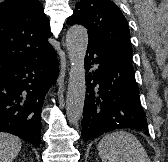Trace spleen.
Wrapping results in <instances>:
<instances>
[{
  "mask_svg": "<svg viewBox=\"0 0 168 162\" xmlns=\"http://www.w3.org/2000/svg\"><path fill=\"white\" fill-rule=\"evenodd\" d=\"M97 149L102 162H151L139 140L123 130L105 135Z\"/></svg>",
  "mask_w": 168,
  "mask_h": 162,
  "instance_id": "obj_1",
  "label": "spleen"
}]
</instances>
